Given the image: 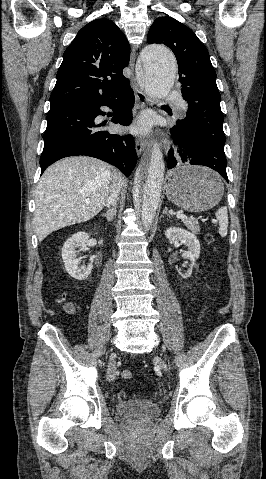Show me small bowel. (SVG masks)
Returning a JSON list of instances; mask_svg holds the SVG:
<instances>
[{"label":"small bowel","instance_id":"small-bowel-1","mask_svg":"<svg viewBox=\"0 0 266 479\" xmlns=\"http://www.w3.org/2000/svg\"><path fill=\"white\" fill-rule=\"evenodd\" d=\"M62 307L67 313H73L76 310V305L73 302H66Z\"/></svg>","mask_w":266,"mask_h":479}]
</instances>
